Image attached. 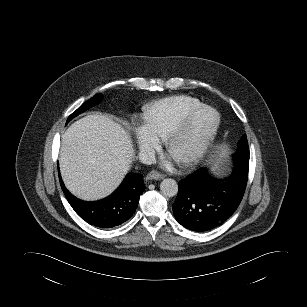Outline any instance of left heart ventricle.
<instances>
[{
    "instance_id": "1",
    "label": "left heart ventricle",
    "mask_w": 307,
    "mask_h": 307,
    "mask_svg": "<svg viewBox=\"0 0 307 307\" xmlns=\"http://www.w3.org/2000/svg\"><path fill=\"white\" fill-rule=\"evenodd\" d=\"M214 122V114L209 110L198 112L190 121L184 135L172 146L170 155L179 160L202 139Z\"/></svg>"
}]
</instances>
